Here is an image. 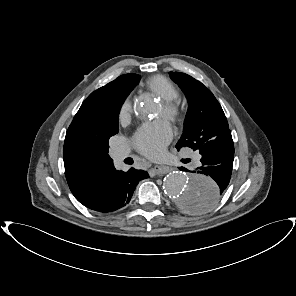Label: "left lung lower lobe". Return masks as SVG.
Wrapping results in <instances>:
<instances>
[{
  "label": "left lung lower lobe",
  "mask_w": 296,
  "mask_h": 296,
  "mask_svg": "<svg viewBox=\"0 0 296 296\" xmlns=\"http://www.w3.org/2000/svg\"><path fill=\"white\" fill-rule=\"evenodd\" d=\"M210 147L203 152L200 159L202 165L192 171L194 176L211 177L217 184L214 192L202 195L187 205L191 212H202L213 206L225 192L232 173L234 160V144L231 132H226L209 142ZM180 170L190 172L184 167Z\"/></svg>",
  "instance_id": "1"
}]
</instances>
